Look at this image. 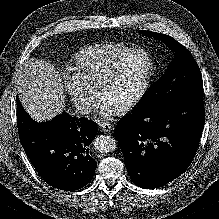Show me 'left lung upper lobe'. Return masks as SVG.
Wrapping results in <instances>:
<instances>
[{
  "instance_id": "5c2ea615",
  "label": "left lung upper lobe",
  "mask_w": 219,
  "mask_h": 219,
  "mask_svg": "<svg viewBox=\"0 0 219 219\" xmlns=\"http://www.w3.org/2000/svg\"><path fill=\"white\" fill-rule=\"evenodd\" d=\"M147 37L165 42L175 52L165 74L150 88L136 111L157 110L176 99L203 93V81L198 64L191 53L174 38L150 31H140Z\"/></svg>"
}]
</instances>
